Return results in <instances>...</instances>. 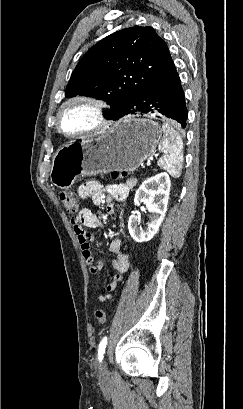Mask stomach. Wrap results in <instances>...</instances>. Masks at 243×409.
Segmentation results:
<instances>
[{"label": "stomach", "instance_id": "1", "mask_svg": "<svg viewBox=\"0 0 243 409\" xmlns=\"http://www.w3.org/2000/svg\"><path fill=\"white\" fill-rule=\"evenodd\" d=\"M161 137V127L152 119L123 118L106 132L58 149L50 180L54 186L68 189L80 175L134 171L154 153Z\"/></svg>", "mask_w": 243, "mask_h": 409}]
</instances>
